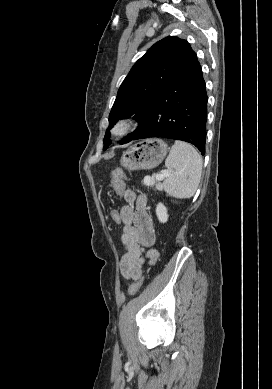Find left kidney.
I'll return each instance as SVG.
<instances>
[{"mask_svg":"<svg viewBox=\"0 0 272 389\" xmlns=\"http://www.w3.org/2000/svg\"><path fill=\"white\" fill-rule=\"evenodd\" d=\"M156 215L161 223H165L168 220L167 208L162 203H158L156 206Z\"/></svg>","mask_w":272,"mask_h":389,"instance_id":"left-kidney-1","label":"left kidney"}]
</instances>
